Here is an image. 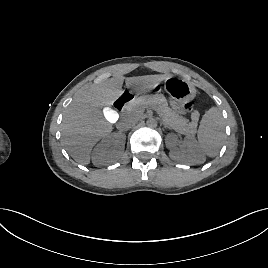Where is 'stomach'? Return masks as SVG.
<instances>
[{"instance_id":"obj_1","label":"stomach","mask_w":268,"mask_h":268,"mask_svg":"<svg viewBox=\"0 0 268 268\" xmlns=\"http://www.w3.org/2000/svg\"><path fill=\"white\" fill-rule=\"evenodd\" d=\"M165 85L170 96L179 102H186L195 97V87L191 82L185 79L171 76L165 80ZM159 87L160 83L154 85L150 90H158Z\"/></svg>"}]
</instances>
